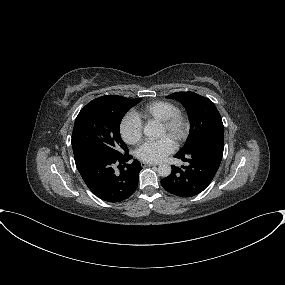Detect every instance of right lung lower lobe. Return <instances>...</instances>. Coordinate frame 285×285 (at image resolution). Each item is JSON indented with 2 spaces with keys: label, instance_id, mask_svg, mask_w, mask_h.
<instances>
[{
  "label": "right lung lower lobe",
  "instance_id": "obj_1",
  "mask_svg": "<svg viewBox=\"0 0 285 285\" xmlns=\"http://www.w3.org/2000/svg\"><path fill=\"white\" fill-rule=\"evenodd\" d=\"M74 157L76 167L87 187L104 201H123L130 197L138 186L142 167L138 160L127 164L132 158L128 153L110 156L86 151L74 154ZM116 164H119V173L114 170Z\"/></svg>",
  "mask_w": 285,
  "mask_h": 285
}]
</instances>
